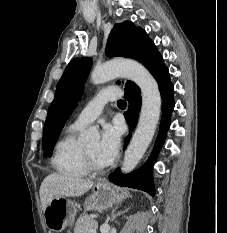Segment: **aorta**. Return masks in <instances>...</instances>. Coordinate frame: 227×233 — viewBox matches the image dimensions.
<instances>
[{
  "instance_id": "762f6f07",
  "label": "aorta",
  "mask_w": 227,
  "mask_h": 233,
  "mask_svg": "<svg viewBox=\"0 0 227 233\" xmlns=\"http://www.w3.org/2000/svg\"><path fill=\"white\" fill-rule=\"evenodd\" d=\"M116 77H126L141 89L142 106L139 121L131 142L124 154L121 171L131 172L139 163L153 139L161 111V95L156 80L140 63L131 60L107 62L96 67L91 73L94 84H102ZM86 143L99 139V132L90 127L82 134Z\"/></svg>"
}]
</instances>
